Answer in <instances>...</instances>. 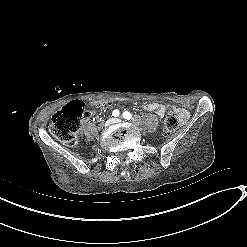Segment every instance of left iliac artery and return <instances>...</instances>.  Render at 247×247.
<instances>
[{
  "instance_id": "left-iliac-artery-1",
  "label": "left iliac artery",
  "mask_w": 247,
  "mask_h": 247,
  "mask_svg": "<svg viewBox=\"0 0 247 247\" xmlns=\"http://www.w3.org/2000/svg\"><path fill=\"white\" fill-rule=\"evenodd\" d=\"M123 118H125L126 120H131L132 115H131V113L125 111V112H123Z\"/></svg>"
}]
</instances>
